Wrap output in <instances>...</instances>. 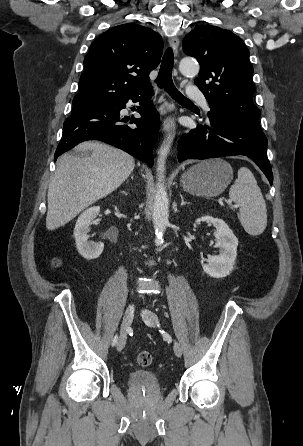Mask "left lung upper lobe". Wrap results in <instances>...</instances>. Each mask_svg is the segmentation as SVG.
I'll return each instance as SVG.
<instances>
[{
    "instance_id": "5c2ea615",
    "label": "left lung upper lobe",
    "mask_w": 303,
    "mask_h": 446,
    "mask_svg": "<svg viewBox=\"0 0 303 446\" xmlns=\"http://www.w3.org/2000/svg\"><path fill=\"white\" fill-rule=\"evenodd\" d=\"M183 50L200 63L195 84L209 106H216L232 121L263 132L259 124L260 111L253 103V68L243 41L231 31L203 25L187 34Z\"/></svg>"
}]
</instances>
